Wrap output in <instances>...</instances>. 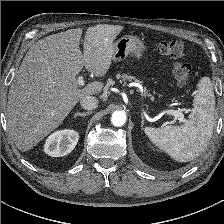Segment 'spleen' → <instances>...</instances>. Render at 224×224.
Wrapping results in <instances>:
<instances>
[{
    "label": "spleen",
    "instance_id": "spleen-1",
    "mask_svg": "<svg viewBox=\"0 0 224 224\" xmlns=\"http://www.w3.org/2000/svg\"><path fill=\"white\" fill-rule=\"evenodd\" d=\"M215 97L209 77H202L194 92L193 109L182 125L146 127L145 134L159 149L178 162L198 157L208 145L215 123Z\"/></svg>",
    "mask_w": 224,
    "mask_h": 224
}]
</instances>
